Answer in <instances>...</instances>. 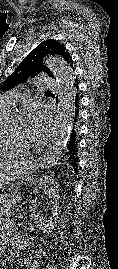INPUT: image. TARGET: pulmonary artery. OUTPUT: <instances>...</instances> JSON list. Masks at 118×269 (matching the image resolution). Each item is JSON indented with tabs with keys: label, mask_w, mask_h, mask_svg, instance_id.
Returning <instances> with one entry per match:
<instances>
[{
	"label": "pulmonary artery",
	"mask_w": 118,
	"mask_h": 269,
	"mask_svg": "<svg viewBox=\"0 0 118 269\" xmlns=\"http://www.w3.org/2000/svg\"><path fill=\"white\" fill-rule=\"evenodd\" d=\"M35 84L40 89H53L57 86L53 79L46 76L37 77ZM19 97L20 94L17 90L9 91L6 94L0 96V106L5 109L13 110Z\"/></svg>",
	"instance_id": "1"
}]
</instances>
